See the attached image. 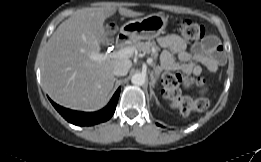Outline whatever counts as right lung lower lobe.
<instances>
[{"mask_svg": "<svg viewBox=\"0 0 261 162\" xmlns=\"http://www.w3.org/2000/svg\"><path fill=\"white\" fill-rule=\"evenodd\" d=\"M120 95V88L115 92L112 99L108 103V105L99 110L97 112H79L64 108L62 106L57 105L52 100L50 102L55 107V109L70 123L77 126H91L101 122H105L111 118L114 114L116 105L118 102V98Z\"/></svg>", "mask_w": 261, "mask_h": 162, "instance_id": "right-lung-lower-lobe-1", "label": "right lung lower lobe"}]
</instances>
